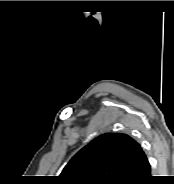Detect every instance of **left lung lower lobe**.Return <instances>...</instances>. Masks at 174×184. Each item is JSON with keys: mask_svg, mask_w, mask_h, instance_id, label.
Instances as JSON below:
<instances>
[{"mask_svg": "<svg viewBox=\"0 0 174 184\" xmlns=\"http://www.w3.org/2000/svg\"><path fill=\"white\" fill-rule=\"evenodd\" d=\"M152 180L150 164L140 149L134 162L131 177L126 184H148Z\"/></svg>", "mask_w": 174, "mask_h": 184, "instance_id": "0a47b994", "label": "left lung lower lobe"}]
</instances>
